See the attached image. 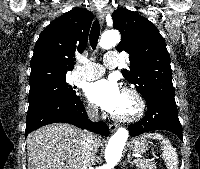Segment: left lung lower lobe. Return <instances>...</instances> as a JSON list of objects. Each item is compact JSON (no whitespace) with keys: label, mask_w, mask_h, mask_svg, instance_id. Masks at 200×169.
<instances>
[{"label":"left lung lower lobe","mask_w":200,"mask_h":169,"mask_svg":"<svg viewBox=\"0 0 200 169\" xmlns=\"http://www.w3.org/2000/svg\"><path fill=\"white\" fill-rule=\"evenodd\" d=\"M145 100L148 110L141 121L129 126L130 136L134 137L153 130H168L183 140L175 98L152 95Z\"/></svg>","instance_id":"obj_1"}]
</instances>
